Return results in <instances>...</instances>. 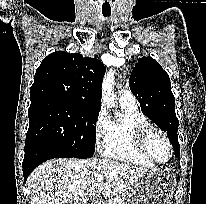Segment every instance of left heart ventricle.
<instances>
[{"mask_svg": "<svg viewBox=\"0 0 206 204\" xmlns=\"http://www.w3.org/2000/svg\"><path fill=\"white\" fill-rule=\"evenodd\" d=\"M148 151L158 161H164L169 156V149L165 140L158 134H152L147 143Z\"/></svg>", "mask_w": 206, "mask_h": 204, "instance_id": "obj_1", "label": "left heart ventricle"}]
</instances>
